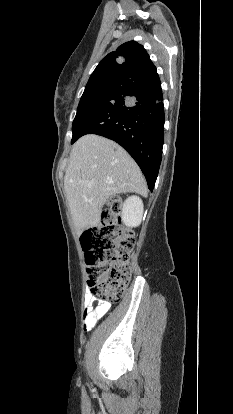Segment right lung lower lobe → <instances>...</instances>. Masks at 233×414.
I'll use <instances>...</instances> for the list:
<instances>
[{"mask_svg": "<svg viewBox=\"0 0 233 414\" xmlns=\"http://www.w3.org/2000/svg\"><path fill=\"white\" fill-rule=\"evenodd\" d=\"M164 122L161 82L155 74L134 80L122 95L89 112L77 139L97 134L116 141L137 162L152 191L161 163Z\"/></svg>", "mask_w": 233, "mask_h": 414, "instance_id": "right-lung-lower-lobe-1", "label": "right lung lower lobe"}]
</instances>
